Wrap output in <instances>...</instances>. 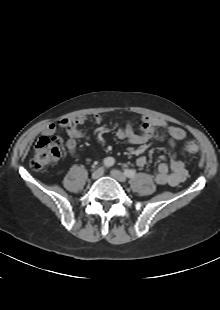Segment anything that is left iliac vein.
Masks as SVG:
<instances>
[{
	"label": "left iliac vein",
	"instance_id": "left-iliac-vein-1",
	"mask_svg": "<svg viewBox=\"0 0 220 310\" xmlns=\"http://www.w3.org/2000/svg\"><path fill=\"white\" fill-rule=\"evenodd\" d=\"M111 176L116 179L119 182H125L126 181V176L124 173H122L119 170L113 169L111 171Z\"/></svg>",
	"mask_w": 220,
	"mask_h": 310
}]
</instances>
